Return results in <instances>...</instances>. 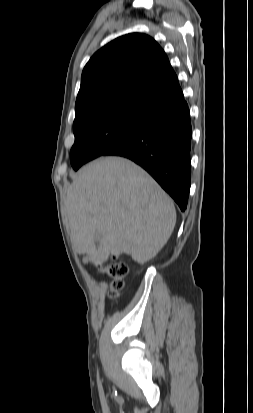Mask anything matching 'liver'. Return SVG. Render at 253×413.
<instances>
[{
  "mask_svg": "<svg viewBox=\"0 0 253 413\" xmlns=\"http://www.w3.org/2000/svg\"><path fill=\"white\" fill-rule=\"evenodd\" d=\"M66 213L74 250L94 265L122 253L144 264L167 243L176 223L171 198L121 157L97 159L78 173L67 191ZM97 233L102 238L96 247Z\"/></svg>",
  "mask_w": 253,
  "mask_h": 413,
  "instance_id": "obj_1",
  "label": "liver"
}]
</instances>
